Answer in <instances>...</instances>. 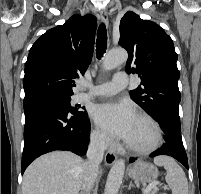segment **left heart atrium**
Listing matches in <instances>:
<instances>
[{
  "label": "left heart atrium",
  "mask_w": 201,
  "mask_h": 194,
  "mask_svg": "<svg viewBox=\"0 0 201 194\" xmlns=\"http://www.w3.org/2000/svg\"><path fill=\"white\" fill-rule=\"evenodd\" d=\"M92 117L105 132L126 141L137 116L130 103L121 101L96 105Z\"/></svg>",
  "instance_id": "obj_1"
}]
</instances>
